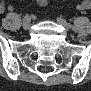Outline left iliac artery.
<instances>
[{
    "instance_id": "44dca946",
    "label": "left iliac artery",
    "mask_w": 91,
    "mask_h": 91,
    "mask_svg": "<svg viewBox=\"0 0 91 91\" xmlns=\"http://www.w3.org/2000/svg\"><path fill=\"white\" fill-rule=\"evenodd\" d=\"M67 26L71 29V28H73V27H74V24H73V23H71V22H68V23H67Z\"/></svg>"
}]
</instances>
